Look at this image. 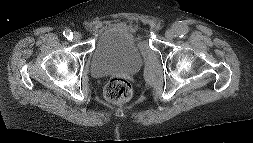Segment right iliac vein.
Returning a JSON list of instances; mask_svg holds the SVG:
<instances>
[{
	"mask_svg": "<svg viewBox=\"0 0 253 143\" xmlns=\"http://www.w3.org/2000/svg\"><path fill=\"white\" fill-rule=\"evenodd\" d=\"M72 38L74 42H79L82 39V35L79 32H74Z\"/></svg>",
	"mask_w": 253,
	"mask_h": 143,
	"instance_id": "63e3f726",
	"label": "right iliac vein"
}]
</instances>
